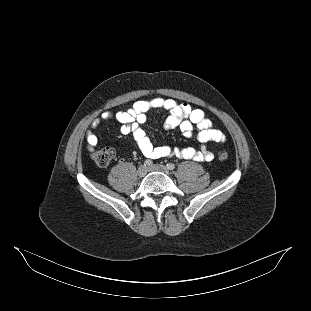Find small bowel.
I'll return each instance as SVG.
<instances>
[{
  "instance_id": "c3829d8e",
  "label": "small bowel",
  "mask_w": 311,
  "mask_h": 311,
  "mask_svg": "<svg viewBox=\"0 0 311 311\" xmlns=\"http://www.w3.org/2000/svg\"><path fill=\"white\" fill-rule=\"evenodd\" d=\"M166 110L169 115L165 120L166 129L178 128L184 136L190 137L194 128L198 129L197 138L202 144L200 150L194 148H176L170 146H154L141 125L147 120V114L154 110ZM116 120L122 134H131L142 154L150 159L177 157L184 160L211 161L214 155L206 147L209 142L225 141L222 131L213 128L212 122L201 109H193L187 103H177L173 99L152 98L140 100L125 111L116 113L104 112L95 118L86 131V144L93 150L98 144L95 133L97 127L105 121Z\"/></svg>"
}]
</instances>
